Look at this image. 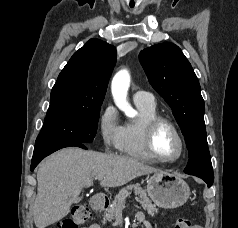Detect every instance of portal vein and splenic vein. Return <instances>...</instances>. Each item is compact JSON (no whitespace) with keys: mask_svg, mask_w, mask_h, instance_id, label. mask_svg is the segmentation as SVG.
<instances>
[{"mask_svg":"<svg viewBox=\"0 0 238 228\" xmlns=\"http://www.w3.org/2000/svg\"><path fill=\"white\" fill-rule=\"evenodd\" d=\"M96 179L102 180V177H98V178H96ZM127 196H128V195H126V196L124 197V199H125Z\"/></svg>","mask_w":238,"mask_h":228,"instance_id":"18ae733b","label":"portal vein and splenic vein"}]
</instances>
